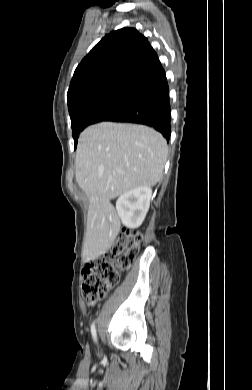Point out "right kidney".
<instances>
[{"label":"right kidney","mask_w":252,"mask_h":390,"mask_svg":"<svg viewBox=\"0 0 252 390\" xmlns=\"http://www.w3.org/2000/svg\"><path fill=\"white\" fill-rule=\"evenodd\" d=\"M152 189L141 186L122 194L116 202V210L122 223L128 228H138L150 206Z\"/></svg>","instance_id":"1"}]
</instances>
